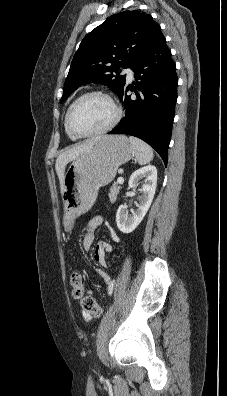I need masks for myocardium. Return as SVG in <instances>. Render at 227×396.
I'll list each match as a JSON object with an SVG mask.
<instances>
[{"instance_id":"obj_1","label":"myocardium","mask_w":227,"mask_h":396,"mask_svg":"<svg viewBox=\"0 0 227 396\" xmlns=\"http://www.w3.org/2000/svg\"><path fill=\"white\" fill-rule=\"evenodd\" d=\"M89 96H101V97L105 98L114 109V117L110 121L109 124H107L105 127L101 128L99 130L89 132V133H80V132L76 131L74 129V127L72 126L71 116H72V112H73V109L75 108V106L82 99L89 97ZM121 118H122V108L110 94H108L104 91H101V90H90V91H86V92L82 93L70 104V106L67 110L66 116H65V122H66L68 131L73 136H75L77 138H88V137L99 136V135H102V134H105V133L111 131L120 122Z\"/></svg>"}]
</instances>
